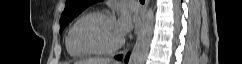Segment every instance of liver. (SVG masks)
<instances>
[{"mask_svg":"<svg viewBox=\"0 0 242 64\" xmlns=\"http://www.w3.org/2000/svg\"><path fill=\"white\" fill-rule=\"evenodd\" d=\"M77 64H117V62H112L110 59L104 58H93L84 61H79Z\"/></svg>","mask_w":242,"mask_h":64,"instance_id":"6515ba94","label":"liver"}]
</instances>
